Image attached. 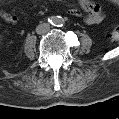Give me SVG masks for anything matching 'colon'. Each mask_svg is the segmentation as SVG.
Listing matches in <instances>:
<instances>
[{"label": "colon", "mask_w": 119, "mask_h": 119, "mask_svg": "<svg viewBox=\"0 0 119 119\" xmlns=\"http://www.w3.org/2000/svg\"><path fill=\"white\" fill-rule=\"evenodd\" d=\"M109 37L112 41H118L119 40V27H115L111 30L109 33Z\"/></svg>", "instance_id": "5ec220e1"}]
</instances>
